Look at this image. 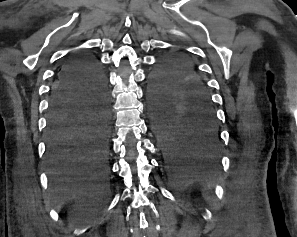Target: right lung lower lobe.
<instances>
[{
	"label": "right lung lower lobe",
	"instance_id": "1",
	"mask_svg": "<svg viewBox=\"0 0 297 237\" xmlns=\"http://www.w3.org/2000/svg\"><path fill=\"white\" fill-rule=\"evenodd\" d=\"M109 98L93 56L72 55L52 85L47 161L55 174L109 171Z\"/></svg>",
	"mask_w": 297,
	"mask_h": 237
}]
</instances>
